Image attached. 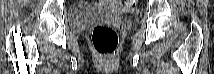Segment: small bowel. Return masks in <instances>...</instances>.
<instances>
[{
  "instance_id": "c3829d8e",
  "label": "small bowel",
  "mask_w": 214,
  "mask_h": 74,
  "mask_svg": "<svg viewBox=\"0 0 214 74\" xmlns=\"http://www.w3.org/2000/svg\"><path fill=\"white\" fill-rule=\"evenodd\" d=\"M109 2H110V3H114V4H117V2H115V1H112V2H111V1H109Z\"/></svg>"
}]
</instances>
